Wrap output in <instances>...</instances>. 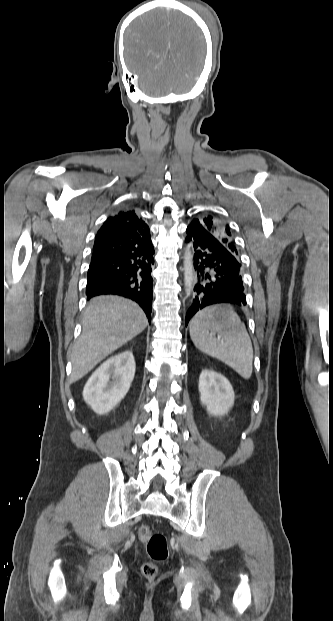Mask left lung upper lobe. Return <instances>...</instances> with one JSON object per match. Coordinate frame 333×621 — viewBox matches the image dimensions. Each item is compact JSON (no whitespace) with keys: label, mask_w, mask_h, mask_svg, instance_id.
Wrapping results in <instances>:
<instances>
[{"label":"left lung upper lobe","mask_w":333,"mask_h":621,"mask_svg":"<svg viewBox=\"0 0 333 621\" xmlns=\"http://www.w3.org/2000/svg\"><path fill=\"white\" fill-rule=\"evenodd\" d=\"M190 225L194 227H203L208 230L240 261L234 236L231 233L229 226L223 219H220L214 215H207L199 219H193Z\"/></svg>","instance_id":"obj_1"}]
</instances>
